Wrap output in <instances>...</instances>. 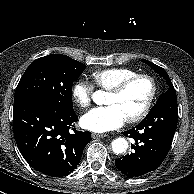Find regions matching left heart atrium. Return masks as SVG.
Wrapping results in <instances>:
<instances>
[{"label": "left heart atrium", "instance_id": "left-heart-atrium-1", "mask_svg": "<svg viewBox=\"0 0 194 194\" xmlns=\"http://www.w3.org/2000/svg\"><path fill=\"white\" fill-rule=\"evenodd\" d=\"M125 117L114 105L93 108L80 120L81 126L93 132H106L117 129L125 122Z\"/></svg>", "mask_w": 194, "mask_h": 194}]
</instances>
